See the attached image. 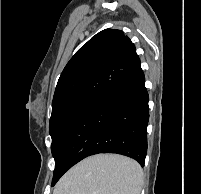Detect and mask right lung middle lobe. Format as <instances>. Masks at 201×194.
Returning a JSON list of instances; mask_svg holds the SVG:
<instances>
[{
  "mask_svg": "<svg viewBox=\"0 0 201 194\" xmlns=\"http://www.w3.org/2000/svg\"><path fill=\"white\" fill-rule=\"evenodd\" d=\"M96 97V95H87L72 98L52 108L49 132L52 138L51 151L53 156L68 124L90 105Z\"/></svg>",
  "mask_w": 201,
  "mask_h": 194,
  "instance_id": "1",
  "label": "right lung middle lobe"
}]
</instances>
